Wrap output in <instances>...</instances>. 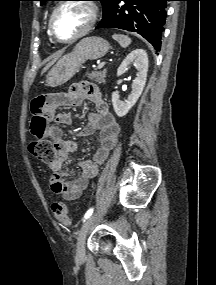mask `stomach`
<instances>
[{"mask_svg": "<svg viewBox=\"0 0 216 285\" xmlns=\"http://www.w3.org/2000/svg\"><path fill=\"white\" fill-rule=\"evenodd\" d=\"M109 48V43L101 37L91 36L82 39L73 51L61 57L49 71L46 77L47 85L58 87L67 83L79 72L83 63L103 57Z\"/></svg>", "mask_w": 216, "mask_h": 285, "instance_id": "0dacf381", "label": "stomach"}]
</instances>
